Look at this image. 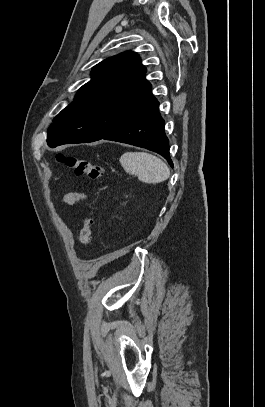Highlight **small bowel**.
Listing matches in <instances>:
<instances>
[{
    "mask_svg": "<svg viewBox=\"0 0 265 407\" xmlns=\"http://www.w3.org/2000/svg\"><path fill=\"white\" fill-rule=\"evenodd\" d=\"M83 198L84 195L82 193L70 192L64 196L63 201L66 205L72 206L80 202Z\"/></svg>",
    "mask_w": 265,
    "mask_h": 407,
    "instance_id": "c3829d8e",
    "label": "small bowel"
}]
</instances>
